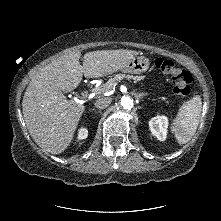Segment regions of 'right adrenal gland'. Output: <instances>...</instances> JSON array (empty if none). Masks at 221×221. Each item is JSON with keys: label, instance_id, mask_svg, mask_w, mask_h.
I'll return each mask as SVG.
<instances>
[{"label": "right adrenal gland", "instance_id": "2a0ac1e0", "mask_svg": "<svg viewBox=\"0 0 221 221\" xmlns=\"http://www.w3.org/2000/svg\"><path fill=\"white\" fill-rule=\"evenodd\" d=\"M92 110L95 111V109H92ZM97 113H100V111H97L96 114H97Z\"/></svg>", "mask_w": 221, "mask_h": 221}]
</instances>
